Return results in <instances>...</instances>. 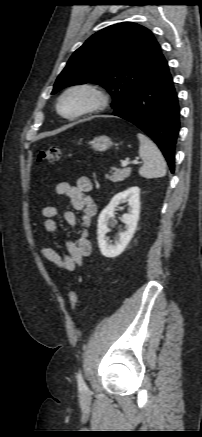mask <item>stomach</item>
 I'll return each mask as SVG.
<instances>
[{
	"label": "stomach",
	"instance_id": "1",
	"mask_svg": "<svg viewBox=\"0 0 202 437\" xmlns=\"http://www.w3.org/2000/svg\"><path fill=\"white\" fill-rule=\"evenodd\" d=\"M91 145L95 151L104 152L113 146V142L108 136H99L91 141Z\"/></svg>",
	"mask_w": 202,
	"mask_h": 437
}]
</instances>
